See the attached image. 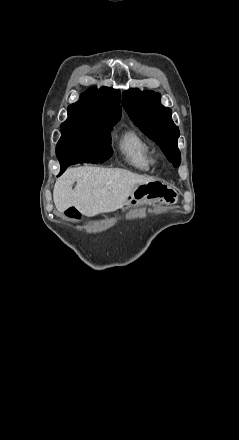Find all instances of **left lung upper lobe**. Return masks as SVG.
<instances>
[{
  "label": "left lung upper lobe",
  "mask_w": 239,
  "mask_h": 440,
  "mask_svg": "<svg viewBox=\"0 0 239 440\" xmlns=\"http://www.w3.org/2000/svg\"><path fill=\"white\" fill-rule=\"evenodd\" d=\"M122 105L136 126L160 146L173 166L178 167L181 161L177 147L180 133L171 119V109L161 105L160 94L129 89L123 93Z\"/></svg>",
  "instance_id": "left-lung-upper-lobe-1"
}]
</instances>
